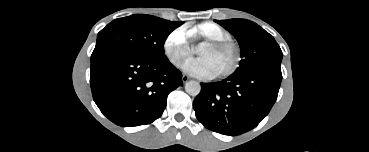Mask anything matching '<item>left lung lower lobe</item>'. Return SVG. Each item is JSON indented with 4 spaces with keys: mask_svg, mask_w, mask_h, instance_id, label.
I'll return each mask as SVG.
<instances>
[{
    "mask_svg": "<svg viewBox=\"0 0 369 152\" xmlns=\"http://www.w3.org/2000/svg\"><path fill=\"white\" fill-rule=\"evenodd\" d=\"M282 75L231 74L214 83H201L193 107L199 122L217 133L235 136L256 127L274 105Z\"/></svg>",
    "mask_w": 369,
    "mask_h": 152,
    "instance_id": "1",
    "label": "left lung lower lobe"
}]
</instances>
